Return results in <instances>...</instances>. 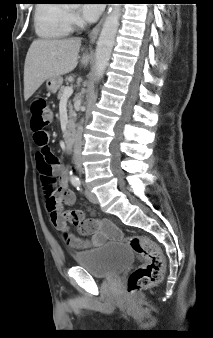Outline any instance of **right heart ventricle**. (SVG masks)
Wrapping results in <instances>:
<instances>
[{"instance_id": "e07e8e85", "label": "right heart ventricle", "mask_w": 213, "mask_h": 338, "mask_svg": "<svg viewBox=\"0 0 213 338\" xmlns=\"http://www.w3.org/2000/svg\"><path fill=\"white\" fill-rule=\"evenodd\" d=\"M63 5L41 3L36 6L35 29L42 38L58 39L67 36L70 26L65 22Z\"/></svg>"}]
</instances>
